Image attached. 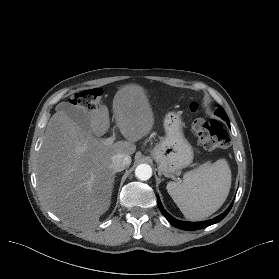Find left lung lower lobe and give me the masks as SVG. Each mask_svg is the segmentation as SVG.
Wrapping results in <instances>:
<instances>
[{"label": "left lung lower lobe", "instance_id": "left-lung-lower-lobe-1", "mask_svg": "<svg viewBox=\"0 0 279 279\" xmlns=\"http://www.w3.org/2000/svg\"><path fill=\"white\" fill-rule=\"evenodd\" d=\"M229 125V123H228ZM158 199V206L159 209L162 211L163 215L165 216V218L175 227L182 229V230H198V229H202L205 228L207 226H210L212 224H215L217 222H219L220 220H222L230 211L233 203L228 207V209L222 213L221 215L217 216L214 219L208 220V221H203V222H183V221H179L175 218H173L172 216H170L163 208L159 198Z\"/></svg>", "mask_w": 279, "mask_h": 279}]
</instances>
